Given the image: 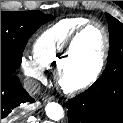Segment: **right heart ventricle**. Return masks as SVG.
Instances as JSON below:
<instances>
[{
    "label": "right heart ventricle",
    "instance_id": "right-heart-ventricle-1",
    "mask_svg": "<svg viewBox=\"0 0 123 123\" xmlns=\"http://www.w3.org/2000/svg\"><path fill=\"white\" fill-rule=\"evenodd\" d=\"M88 21L85 17L67 18L44 30L33 44V58L43 69H56L64 57L70 37Z\"/></svg>",
    "mask_w": 123,
    "mask_h": 123
}]
</instances>
